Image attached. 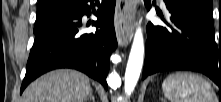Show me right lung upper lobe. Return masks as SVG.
Listing matches in <instances>:
<instances>
[{
	"mask_svg": "<svg viewBox=\"0 0 221 102\" xmlns=\"http://www.w3.org/2000/svg\"><path fill=\"white\" fill-rule=\"evenodd\" d=\"M57 0H39L37 8H43L52 5Z\"/></svg>",
	"mask_w": 221,
	"mask_h": 102,
	"instance_id": "1",
	"label": "right lung upper lobe"
}]
</instances>
